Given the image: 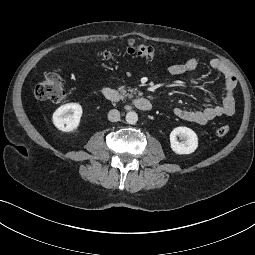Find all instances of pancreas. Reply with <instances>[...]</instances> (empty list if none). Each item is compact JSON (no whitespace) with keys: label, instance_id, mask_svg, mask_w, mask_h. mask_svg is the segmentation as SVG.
I'll return each mask as SVG.
<instances>
[{"label":"pancreas","instance_id":"1","mask_svg":"<svg viewBox=\"0 0 255 255\" xmlns=\"http://www.w3.org/2000/svg\"><path fill=\"white\" fill-rule=\"evenodd\" d=\"M119 91L122 95V98L128 97V98H132L133 94H137V92L134 89H126L125 86H120L119 87ZM138 96H141V93H138Z\"/></svg>","mask_w":255,"mask_h":255}]
</instances>
